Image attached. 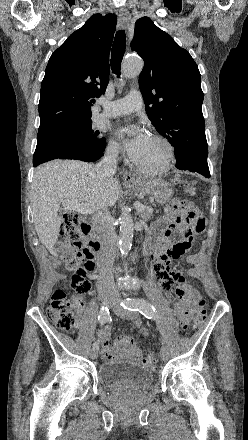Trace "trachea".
I'll return each mask as SVG.
<instances>
[{"label":"trachea","instance_id":"3493384b","mask_svg":"<svg viewBox=\"0 0 248 440\" xmlns=\"http://www.w3.org/2000/svg\"><path fill=\"white\" fill-rule=\"evenodd\" d=\"M126 49V35L125 31H118L115 35L113 47L111 50V69L114 74L119 76L121 69V62Z\"/></svg>","mask_w":248,"mask_h":440}]
</instances>
